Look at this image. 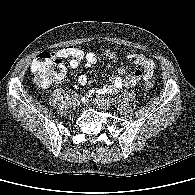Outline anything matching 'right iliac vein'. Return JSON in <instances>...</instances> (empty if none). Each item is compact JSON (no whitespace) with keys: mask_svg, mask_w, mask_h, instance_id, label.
Here are the masks:
<instances>
[{"mask_svg":"<svg viewBox=\"0 0 195 195\" xmlns=\"http://www.w3.org/2000/svg\"><path fill=\"white\" fill-rule=\"evenodd\" d=\"M80 105V101L76 98H74L72 101H71V106L76 108Z\"/></svg>","mask_w":195,"mask_h":195,"instance_id":"1","label":"right iliac vein"}]
</instances>
